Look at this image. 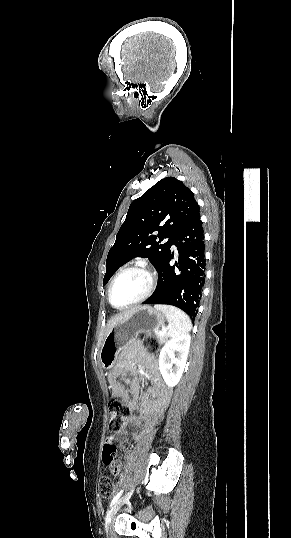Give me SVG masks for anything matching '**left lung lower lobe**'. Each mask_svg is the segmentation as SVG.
<instances>
[{
  "label": "left lung lower lobe",
  "mask_w": 291,
  "mask_h": 538,
  "mask_svg": "<svg viewBox=\"0 0 291 538\" xmlns=\"http://www.w3.org/2000/svg\"><path fill=\"white\" fill-rule=\"evenodd\" d=\"M174 244L178 262L170 264ZM158 271L159 284L143 304H168L185 311L194 321L205 281V244L202 221L197 210L176 232Z\"/></svg>",
  "instance_id": "0a47b994"
}]
</instances>
